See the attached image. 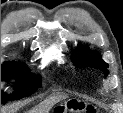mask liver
<instances>
[{
  "label": "liver",
  "instance_id": "obj_1",
  "mask_svg": "<svg viewBox=\"0 0 123 113\" xmlns=\"http://www.w3.org/2000/svg\"><path fill=\"white\" fill-rule=\"evenodd\" d=\"M59 100H60V98H58V99H52V100L49 102V106H48V107L52 106L54 103L58 102Z\"/></svg>",
  "mask_w": 123,
  "mask_h": 113
}]
</instances>
